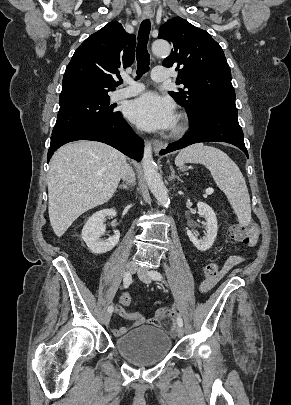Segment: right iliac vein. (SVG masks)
<instances>
[{"label": "right iliac vein", "instance_id": "obj_1", "mask_svg": "<svg viewBox=\"0 0 291 405\" xmlns=\"http://www.w3.org/2000/svg\"><path fill=\"white\" fill-rule=\"evenodd\" d=\"M138 266L134 261H131L127 264V271L131 274L135 273V271L137 270ZM111 318V313L110 312H105L103 315V322L104 324L108 325L109 321Z\"/></svg>", "mask_w": 291, "mask_h": 405}]
</instances>
